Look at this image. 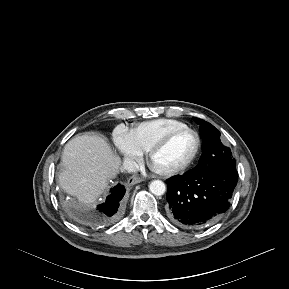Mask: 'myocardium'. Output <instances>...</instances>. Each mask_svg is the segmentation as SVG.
Listing matches in <instances>:
<instances>
[{
    "instance_id": "1",
    "label": "myocardium",
    "mask_w": 289,
    "mask_h": 289,
    "mask_svg": "<svg viewBox=\"0 0 289 289\" xmlns=\"http://www.w3.org/2000/svg\"><path fill=\"white\" fill-rule=\"evenodd\" d=\"M185 132H189L192 133L195 138H196V147L194 149V152L192 153V155L190 156V158L184 162L183 164H181L178 167H175L173 169L170 170H158L156 168L153 167L152 165V160L154 158V156L160 151L162 150L174 137H176L179 134L185 133ZM201 146H202V139L200 134L193 128L190 127H184V128H179V129H175L169 133H167L165 136H163L160 140H158L147 152V161L149 166L151 167V169L153 171H155L157 174L164 176V177H171L177 174H180L182 172H184L185 170H187L196 160V158L198 157L200 150H201Z\"/></svg>"
}]
</instances>
